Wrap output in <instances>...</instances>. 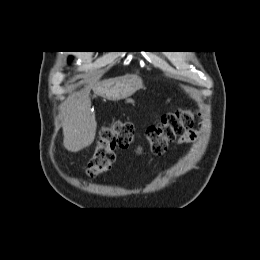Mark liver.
Returning <instances> with one entry per match:
<instances>
[{"mask_svg":"<svg viewBox=\"0 0 260 260\" xmlns=\"http://www.w3.org/2000/svg\"><path fill=\"white\" fill-rule=\"evenodd\" d=\"M117 79H105L97 82L93 87L94 92L109 100H113L110 88L116 83ZM96 127L95 114L91 110L89 96H70L65 101L64 147L68 151L78 152L90 146L95 138Z\"/></svg>","mask_w":260,"mask_h":260,"instance_id":"obj_1","label":"liver"}]
</instances>
